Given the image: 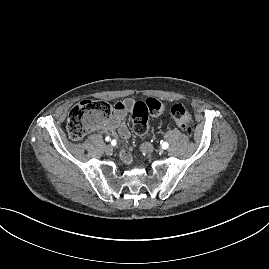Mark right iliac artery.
<instances>
[{
	"label": "right iliac artery",
	"instance_id": "right-iliac-artery-1",
	"mask_svg": "<svg viewBox=\"0 0 269 269\" xmlns=\"http://www.w3.org/2000/svg\"><path fill=\"white\" fill-rule=\"evenodd\" d=\"M105 140H106V141H111V138H110L109 136H107V137L105 138Z\"/></svg>",
	"mask_w": 269,
	"mask_h": 269
}]
</instances>
